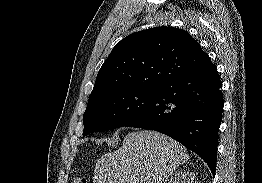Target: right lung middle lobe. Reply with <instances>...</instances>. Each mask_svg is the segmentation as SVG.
Here are the masks:
<instances>
[{
  "instance_id": "obj_1",
  "label": "right lung middle lobe",
  "mask_w": 262,
  "mask_h": 183,
  "mask_svg": "<svg viewBox=\"0 0 262 183\" xmlns=\"http://www.w3.org/2000/svg\"><path fill=\"white\" fill-rule=\"evenodd\" d=\"M157 89L131 88L88 100L83 136L127 125L153 101Z\"/></svg>"
}]
</instances>
